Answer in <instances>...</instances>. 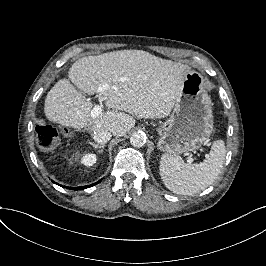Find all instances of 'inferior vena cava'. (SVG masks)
Listing matches in <instances>:
<instances>
[{
    "label": "inferior vena cava",
    "mask_w": 266,
    "mask_h": 266,
    "mask_svg": "<svg viewBox=\"0 0 266 266\" xmlns=\"http://www.w3.org/2000/svg\"><path fill=\"white\" fill-rule=\"evenodd\" d=\"M92 137L96 142L100 144H105L111 139L112 135L107 130H94L92 133Z\"/></svg>",
    "instance_id": "602c4592"
}]
</instances>
